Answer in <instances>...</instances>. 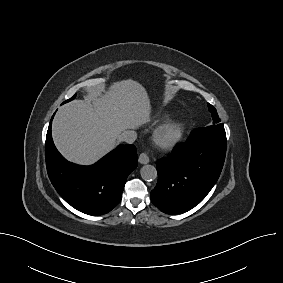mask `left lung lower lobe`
Returning a JSON list of instances; mask_svg holds the SVG:
<instances>
[{
	"label": "left lung lower lobe",
	"mask_w": 283,
	"mask_h": 283,
	"mask_svg": "<svg viewBox=\"0 0 283 283\" xmlns=\"http://www.w3.org/2000/svg\"><path fill=\"white\" fill-rule=\"evenodd\" d=\"M226 133L198 128L185 143L156 162L158 182L152 203L166 214L186 212L199 204L217 182L226 155Z\"/></svg>",
	"instance_id": "left-lung-lower-lobe-1"
}]
</instances>
